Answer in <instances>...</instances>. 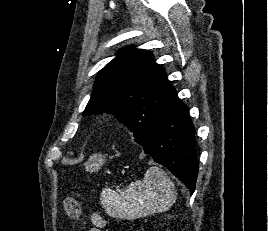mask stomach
<instances>
[{"label":"stomach","instance_id":"stomach-1","mask_svg":"<svg viewBox=\"0 0 268 231\" xmlns=\"http://www.w3.org/2000/svg\"><path fill=\"white\" fill-rule=\"evenodd\" d=\"M104 163L105 156H103L102 154H94L84 165L86 171L95 172L98 171Z\"/></svg>","mask_w":268,"mask_h":231}]
</instances>
